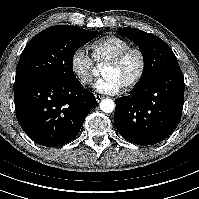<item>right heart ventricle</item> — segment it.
I'll return each instance as SVG.
<instances>
[{
  "label": "right heart ventricle",
  "mask_w": 199,
  "mask_h": 199,
  "mask_svg": "<svg viewBox=\"0 0 199 199\" xmlns=\"http://www.w3.org/2000/svg\"><path fill=\"white\" fill-rule=\"evenodd\" d=\"M129 47H131V43L128 40L117 36H110L95 42L91 48L95 62L101 66L110 62Z\"/></svg>",
  "instance_id": "right-heart-ventricle-1"
}]
</instances>
